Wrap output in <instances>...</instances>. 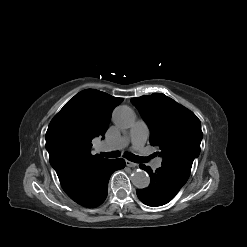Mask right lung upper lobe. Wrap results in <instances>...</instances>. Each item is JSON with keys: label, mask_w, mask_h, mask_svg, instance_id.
Instances as JSON below:
<instances>
[{"label": "right lung upper lobe", "mask_w": 247, "mask_h": 247, "mask_svg": "<svg viewBox=\"0 0 247 247\" xmlns=\"http://www.w3.org/2000/svg\"><path fill=\"white\" fill-rule=\"evenodd\" d=\"M122 101L86 89L68 101L52 119L46 133V149L59 180L105 160L99 154L90 153L91 141L105 134L113 109Z\"/></svg>", "instance_id": "obj_1"}]
</instances>
